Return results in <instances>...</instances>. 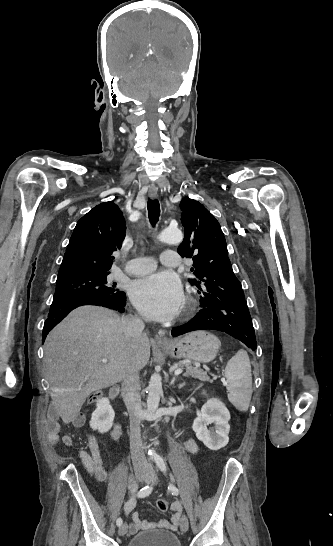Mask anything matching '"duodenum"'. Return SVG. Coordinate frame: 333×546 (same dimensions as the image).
I'll list each match as a JSON object with an SVG mask.
<instances>
[{"mask_svg":"<svg viewBox=\"0 0 333 546\" xmlns=\"http://www.w3.org/2000/svg\"><path fill=\"white\" fill-rule=\"evenodd\" d=\"M118 394H119V388L113 387V388L110 390V392H109L110 399H111L112 401H114V400L116 399V397L118 396ZM122 433H123V431H122V425H121V423H120V422H116V423L114 424V427H113V430H112V435H113V437H114L115 439H119V438H121Z\"/></svg>","mask_w":333,"mask_h":546,"instance_id":"obj_1","label":"duodenum"}]
</instances>
